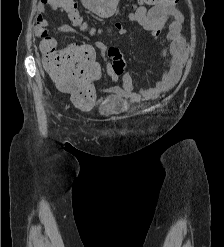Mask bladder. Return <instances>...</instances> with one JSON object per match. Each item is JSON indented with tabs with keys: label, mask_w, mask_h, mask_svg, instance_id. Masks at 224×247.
I'll list each match as a JSON object with an SVG mask.
<instances>
[{
	"label": "bladder",
	"mask_w": 224,
	"mask_h": 247,
	"mask_svg": "<svg viewBox=\"0 0 224 247\" xmlns=\"http://www.w3.org/2000/svg\"><path fill=\"white\" fill-rule=\"evenodd\" d=\"M120 112V105L113 98L106 99L99 107L98 113L103 117H112Z\"/></svg>",
	"instance_id": "bladder-1"
}]
</instances>
